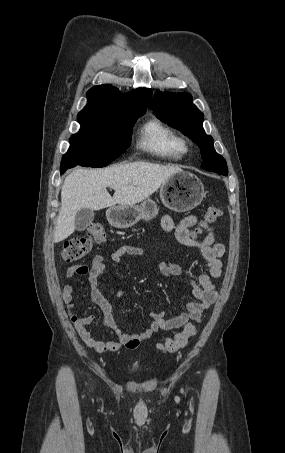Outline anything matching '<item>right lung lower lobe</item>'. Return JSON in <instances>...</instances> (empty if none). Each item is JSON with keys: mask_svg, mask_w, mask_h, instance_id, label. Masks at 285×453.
<instances>
[{"mask_svg": "<svg viewBox=\"0 0 285 453\" xmlns=\"http://www.w3.org/2000/svg\"><path fill=\"white\" fill-rule=\"evenodd\" d=\"M71 168L70 165H63L61 164V173H64L67 169Z\"/></svg>", "mask_w": 285, "mask_h": 453, "instance_id": "obj_1", "label": "right lung lower lobe"}]
</instances>
